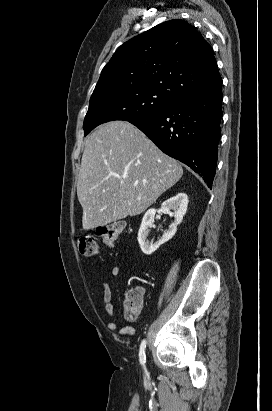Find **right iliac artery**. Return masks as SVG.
<instances>
[{"label":"right iliac artery","mask_w":272,"mask_h":411,"mask_svg":"<svg viewBox=\"0 0 272 411\" xmlns=\"http://www.w3.org/2000/svg\"><path fill=\"white\" fill-rule=\"evenodd\" d=\"M145 348H146V340L144 339L141 342L140 350H139V361L142 367H145V363H146Z\"/></svg>","instance_id":"82829eb1"}]
</instances>
